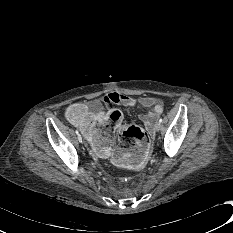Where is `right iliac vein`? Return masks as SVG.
<instances>
[{"mask_svg":"<svg viewBox=\"0 0 233 233\" xmlns=\"http://www.w3.org/2000/svg\"><path fill=\"white\" fill-rule=\"evenodd\" d=\"M82 140H83V139H82V136H81V135H78V141H79V142H82Z\"/></svg>","mask_w":233,"mask_h":233,"instance_id":"obj_1","label":"right iliac vein"}]
</instances>
